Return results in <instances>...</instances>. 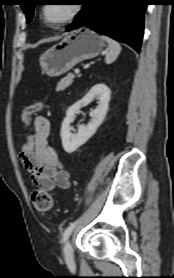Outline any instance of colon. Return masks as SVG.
Masks as SVG:
<instances>
[{
	"label": "colon",
	"instance_id": "1",
	"mask_svg": "<svg viewBox=\"0 0 174 278\" xmlns=\"http://www.w3.org/2000/svg\"><path fill=\"white\" fill-rule=\"evenodd\" d=\"M43 105L36 103L28 106L23 113V120L26 124H29L31 116L40 111ZM35 148V137L33 133H28L25 140L21 144L20 154L27 155L33 152ZM32 201L37 211L46 213L50 211L53 205V199L49 192L39 189L32 193Z\"/></svg>",
	"mask_w": 174,
	"mask_h": 278
}]
</instances>
